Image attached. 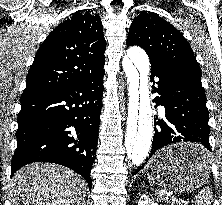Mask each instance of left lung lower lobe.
Wrapping results in <instances>:
<instances>
[{
	"label": "left lung lower lobe",
	"instance_id": "1",
	"mask_svg": "<svg viewBox=\"0 0 222 205\" xmlns=\"http://www.w3.org/2000/svg\"><path fill=\"white\" fill-rule=\"evenodd\" d=\"M159 78L153 100L165 107V119L155 120V133L149 158L163 146L180 141H192L210 150L209 112L201 76L183 66L168 62H151V81ZM207 150L180 152L175 162L180 165H198L208 162ZM145 164L135 170L137 173Z\"/></svg>",
	"mask_w": 222,
	"mask_h": 205
}]
</instances>
